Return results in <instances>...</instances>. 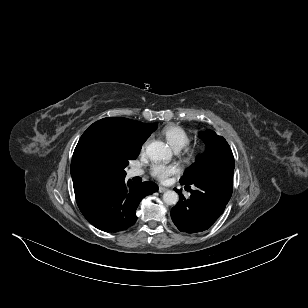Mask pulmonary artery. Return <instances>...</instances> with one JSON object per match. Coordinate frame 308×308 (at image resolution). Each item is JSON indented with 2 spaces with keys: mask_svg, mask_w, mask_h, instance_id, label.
<instances>
[{
  "mask_svg": "<svg viewBox=\"0 0 308 308\" xmlns=\"http://www.w3.org/2000/svg\"><path fill=\"white\" fill-rule=\"evenodd\" d=\"M143 171L137 168H133L129 171V176L130 177H135V176H140L142 175Z\"/></svg>",
  "mask_w": 308,
  "mask_h": 308,
  "instance_id": "obj_1",
  "label": "pulmonary artery"
}]
</instances>
